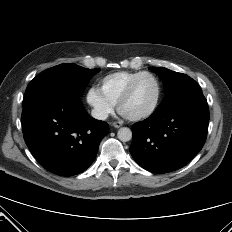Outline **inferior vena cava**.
Returning <instances> with one entry per match:
<instances>
[{
  "label": "inferior vena cava",
  "mask_w": 232,
  "mask_h": 232,
  "mask_svg": "<svg viewBox=\"0 0 232 232\" xmlns=\"http://www.w3.org/2000/svg\"><path fill=\"white\" fill-rule=\"evenodd\" d=\"M91 115L98 120H105L108 117V113L100 109H93Z\"/></svg>",
  "instance_id": "1"
}]
</instances>
